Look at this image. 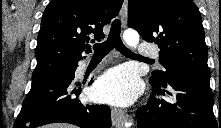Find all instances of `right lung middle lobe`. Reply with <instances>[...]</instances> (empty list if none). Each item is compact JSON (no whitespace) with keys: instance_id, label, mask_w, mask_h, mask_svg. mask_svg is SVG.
Listing matches in <instances>:
<instances>
[{"instance_id":"obj_1","label":"right lung middle lobe","mask_w":221,"mask_h":128,"mask_svg":"<svg viewBox=\"0 0 221 128\" xmlns=\"http://www.w3.org/2000/svg\"><path fill=\"white\" fill-rule=\"evenodd\" d=\"M73 69H74V65L62 68V69H60L58 71L69 72V71H72ZM37 78H40V77H33L32 76V80L37 79Z\"/></svg>"}]
</instances>
